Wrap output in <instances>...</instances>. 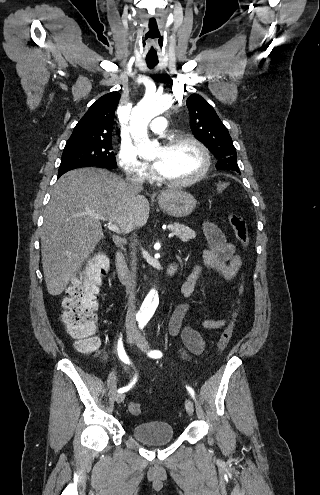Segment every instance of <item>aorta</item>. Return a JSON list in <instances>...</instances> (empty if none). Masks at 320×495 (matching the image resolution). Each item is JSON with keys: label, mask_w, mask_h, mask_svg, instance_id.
I'll return each mask as SVG.
<instances>
[{"label": "aorta", "mask_w": 320, "mask_h": 495, "mask_svg": "<svg viewBox=\"0 0 320 495\" xmlns=\"http://www.w3.org/2000/svg\"><path fill=\"white\" fill-rule=\"evenodd\" d=\"M173 104L169 95H146L133 108L130 115L129 130L139 155L143 158H153L159 150V144L152 142L148 137V124L156 116L164 113ZM159 298L155 289H152L142 304V311L146 316H152L158 306Z\"/></svg>", "instance_id": "1"}]
</instances>
